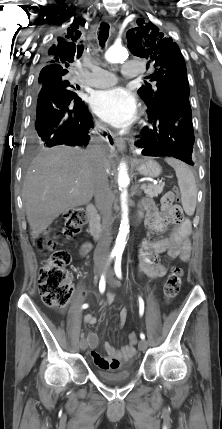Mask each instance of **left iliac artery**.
I'll use <instances>...</instances> for the list:
<instances>
[{
  "mask_svg": "<svg viewBox=\"0 0 222 429\" xmlns=\"http://www.w3.org/2000/svg\"><path fill=\"white\" fill-rule=\"evenodd\" d=\"M121 259H122L121 255L116 256L115 265H114L115 274L119 279H121V277H122ZM139 313L141 316L144 313V301L141 297H139ZM140 338L145 339L144 333L140 334Z\"/></svg>",
  "mask_w": 222,
  "mask_h": 429,
  "instance_id": "left-iliac-artery-1",
  "label": "left iliac artery"
}]
</instances>
